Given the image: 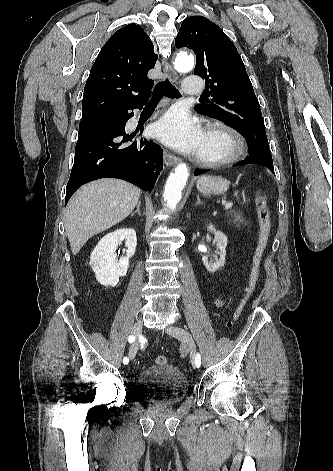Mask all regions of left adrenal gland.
Instances as JSON below:
<instances>
[{"mask_svg": "<svg viewBox=\"0 0 333 471\" xmlns=\"http://www.w3.org/2000/svg\"><path fill=\"white\" fill-rule=\"evenodd\" d=\"M198 204H203V202L200 200V196L197 195V202L195 205H198Z\"/></svg>", "mask_w": 333, "mask_h": 471, "instance_id": "left-adrenal-gland-1", "label": "left adrenal gland"}]
</instances>
